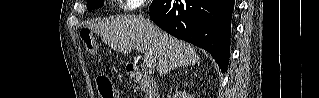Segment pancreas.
Segmentation results:
<instances>
[{"label": "pancreas", "mask_w": 319, "mask_h": 98, "mask_svg": "<svg viewBox=\"0 0 319 98\" xmlns=\"http://www.w3.org/2000/svg\"><path fill=\"white\" fill-rule=\"evenodd\" d=\"M139 89H140L141 91H143V90H145V87H144L142 84H140V85H139Z\"/></svg>", "instance_id": "cf45deb5"}]
</instances>
